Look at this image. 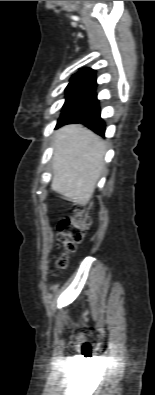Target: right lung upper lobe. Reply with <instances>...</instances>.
I'll return each instance as SVG.
<instances>
[{"mask_svg":"<svg viewBox=\"0 0 155 395\" xmlns=\"http://www.w3.org/2000/svg\"><path fill=\"white\" fill-rule=\"evenodd\" d=\"M69 85H85L96 87V77H95V70L91 68L82 69L79 73L73 75L70 80Z\"/></svg>","mask_w":155,"mask_h":395,"instance_id":"1","label":"right lung upper lobe"}]
</instances>
